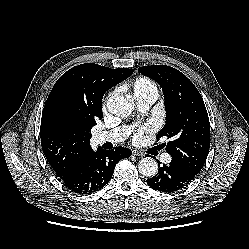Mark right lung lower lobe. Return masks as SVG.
<instances>
[{"mask_svg": "<svg viewBox=\"0 0 249 249\" xmlns=\"http://www.w3.org/2000/svg\"><path fill=\"white\" fill-rule=\"evenodd\" d=\"M131 154V150L122 147H114L101 153L90 149L77 165L62 177L64 184L76 193L98 191L111 179L117 162L130 157Z\"/></svg>", "mask_w": 249, "mask_h": 249, "instance_id": "obj_1", "label": "right lung lower lobe"}]
</instances>
